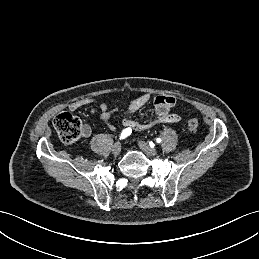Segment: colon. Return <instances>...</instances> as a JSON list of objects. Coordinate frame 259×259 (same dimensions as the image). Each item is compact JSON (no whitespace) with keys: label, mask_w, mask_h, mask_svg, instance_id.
I'll use <instances>...</instances> for the list:
<instances>
[{"label":"colon","mask_w":259,"mask_h":259,"mask_svg":"<svg viewBox=\"0 0 259 259\" xmlns=\"http://www.w3.org/2000/svg\"><path fill=\"white\" fill-rule=\"evenodd\" d=\"M54 128L64 143L70 144L76 142L82 134V124L79 119L68 112L59 113L54 119ZM199 126L196 118H190L187 121V130L192 133Z\"/></svg>","instance_id":"1"}]
</instances>
